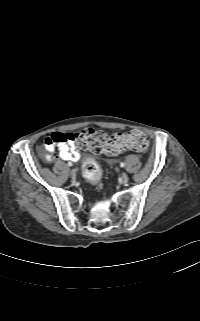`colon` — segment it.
Masks as SVG:
<instances>
[{
	"label": "colon",
	"instance_id": "obj_1",
	"mask_svg": "<svg viewBox=\"0 0 200 321\" xmlns=\"http://www.w3.org/2000/svg\"><path fill=\"white\" fill-rule=\"evenodd\" d=\"M75 139L81 149L109 156H116L126 150L142 153L148 151L150 146L148 137L138 130L111 137L102 131L87 128L76 134ZM82 173L86 180L94 184L102 178L101 168L93 158L83 161Z\"/></svg>",
	"mask_w": 200,
	"mask_h": 321
}]
</instances>
